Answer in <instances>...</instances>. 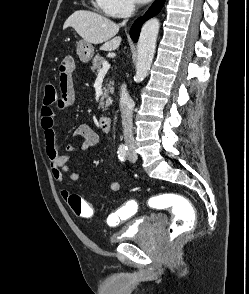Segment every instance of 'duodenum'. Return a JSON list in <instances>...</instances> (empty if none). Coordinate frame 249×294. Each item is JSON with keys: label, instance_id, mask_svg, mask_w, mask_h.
I'll use <instances>...</instances> for the list:
<instances>
[{"label": "duodenum", "instance_id": "1", "mask_svg": "<svg viewBox=\"0 0 249 294\" xmlns=\"http://www.w3.org/2000/svg\"><path fill=\"white\" fill-rule=\"evenodd\" d=\"M96 125L101 131L109 132L111 129V118L106 115H101L97 117Z\"/></svg>", "mask_w": 249, "mask_h": 294}]
</instances>
